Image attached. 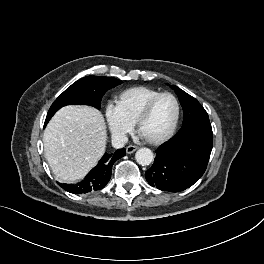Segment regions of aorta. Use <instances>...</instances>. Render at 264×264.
<instances>
[{
	"label": "aorta",
	"mask_w": 264,
	"mask_h": 264,
	"mask_svg": "<svg viewBox=\"0 0 264 264\" xmlns=\"http://www.w3.org/2000/svg\"><path fill=\"white\" fill-rule=\"evenodd\" d=\"M138 164L146 166L150 165L154 160L153 152L149 148H140L135 155Z\"/></svg>",
	"instance_id": "obj_1"
}]
</instances>
